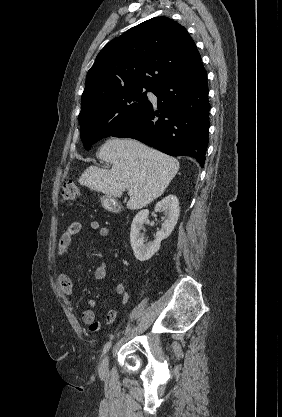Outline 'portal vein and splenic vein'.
<instances>
[{"instance_id":"18ae733b","label":"portal vein and splenic vein","mask_w":282,"mask_h":417,"mask_svg":"<svg viewBox=\"0 0 282 417\" xmlns=\"http://www.w3.org/2000/svg\"><path fill=\"white\" fill-rule=\"evenodd\" d=\"M129 194H132L131 190H129Z\"/></svg>"}]
</instances>
